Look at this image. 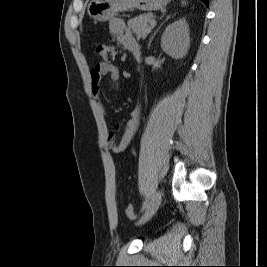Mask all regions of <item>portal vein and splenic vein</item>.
<instances>
[{
    "label": "portal vein and splenic vein",
    "instance_id": "1",
    "mask_svg": "<svg viewBox=\"0 0 267 267\" xmlns=\"http://www.w3.org/2000/svg\"><path fill=\"white\" fill-rule=\"evenodd\" d=\"M149 24H150L151 26H155V25H156V20H154V19L150 20V21H149Z\"/></svg>",
    "mask_w": 267,
    "mask_h": 267
}]
</instances>
